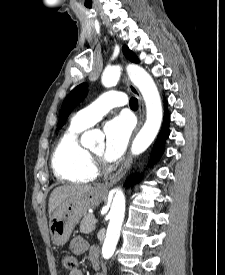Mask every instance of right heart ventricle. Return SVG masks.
Instances as JSON below:
<instances>
[{
	"instance_id": "1",
	"label": "right heart ventricle",
	"mask_w": 225,
	"mask_h": 275,
	"mask_svg": "<svg viewBox=\"0 0 225 275\" xmlns=\"http://www.w3.org/2000/svg\"><path fill=\"white\" fill-rule=\"evenodd\" d=\"M85 128L72 123L53 150L52 168L62 180L85 183L97 177V171L92 166L93 159L79 139Z\"/></svg>"
}]
</instances>
